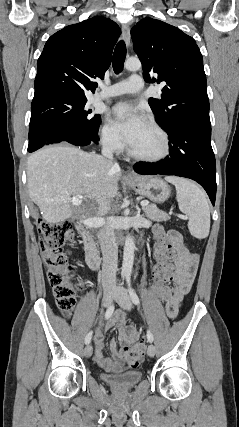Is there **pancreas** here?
Returning <instances> with one entry per match:
<instances>
[{
	"label": "pancreas",
	"mask_w": 239,
	"mask_h": 427,
	"mask_svg": "<svg viewBox=\"0 0 239 427\" xmlns=\"http://www.w3.org/2000/svg\"><path fill=\"white\" fill-rule=\"evenodd\" d=\"M146 217L150 220L162 222L167 221L170 216L163 211H160L155 204H149L142 208Z\"/></svg>",
	"instance_id": "1"
}]
</instances>
